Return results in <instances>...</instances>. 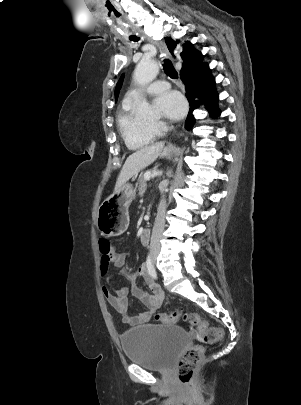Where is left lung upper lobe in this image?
I'll use <instances>...</instances> for the list:
<instances>
[{
  "instance_id": "1",
  "label": "left lung upper lobe",
  "mask_w": 301,
  "mask_h": 405,
  "mask_svg": "<svg viewBox=\"0 0 301 405\" xmlns=\"http://www.w3.org/2000/svg\"><path fill=\"white\" fill-rule=\"evenodd\" d=\"M123 78H124V74L121 76V78L119 79L116 88H115V98L117 100L118 96H119V92L123 83Z\"/></svg>"
}]
</instances>
